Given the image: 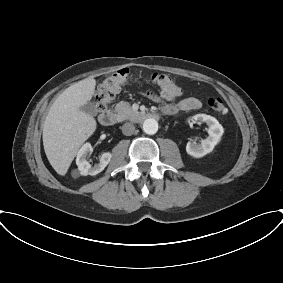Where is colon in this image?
Returning <instances> with one entry per match:
<instances>
[{"instance_id": "colon-1", "label": "colon", "mask_w": 283, "mask_h": 283, "mask_svg": "<svg viewBox=\"0 0 283 283\" xmlns=\"http://www.w3.org/2000/svg\"><path fill=\"white\" fill-rule=\"evenodd\" d=\"M127 77L128 70L119 69L102 81L94 94V103L99 110L104 109L112 100L115 91L126 81ZM152 79L158 85L162 98L166 99L178 96V87L169 76L154 74ZM207 103L213 111L219 114H224L227 111L226 105L220 97H211Z\"/></svg>"}]
</instances>
